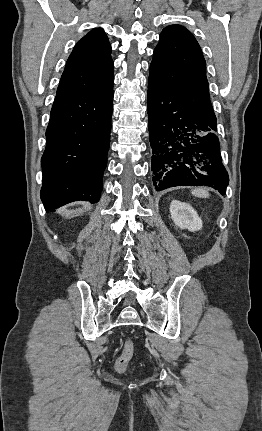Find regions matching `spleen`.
Returning a JSON list of instances; mask_svg holds the SVG:
<instances>
[{"instance_id": "3e777b00", "label": "spleen", "mask_w": 262, "mask_h": 431, "mask_svg": "<svg viewBox=\"0 0 262 431\" xmlns=\"http://www.w3.org/2000/svg\"><path fill=\"white\" fill-rule=\"evenodd\" d=\"M192 194L196 197H199V198H208L209 197V193L206 190H203L200 188L192 190Z\"/></svg>"}]
</instances>
